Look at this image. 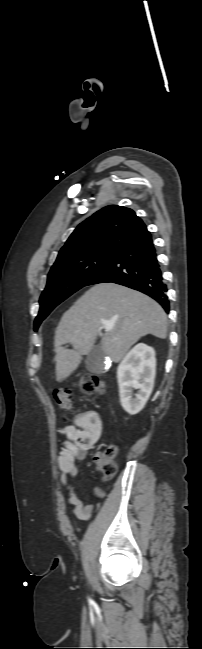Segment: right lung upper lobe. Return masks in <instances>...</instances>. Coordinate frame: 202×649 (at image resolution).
<instances>
[{
    "instance_id": "obj_1",
    "label": "right lung upper lobe",
    "mask_w": 202,
    "mask_h": 649,
    "mask_svg": "<svg viewBox=\"0 0 202 649\" xmlns=\"http://www.w3.org/2000/svg\"><path fill=\"white\" fill-rule=\"evenodd\" d=\"M148 234L146 225L132 209L109 205L78 225L56 262L89 251L118 253Z\"/></svg>"
}]
</instances>
